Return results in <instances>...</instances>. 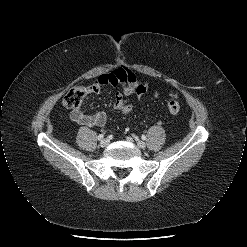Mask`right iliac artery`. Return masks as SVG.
<instances>
[{
  "label": "right iliac artery",
  "mask_w": 247,
  "mask_h": 247,
  "mask_svg": "<svg viewBox=\"0 0 247 247\" xmlns=\"http://www.w3.org/2000/svg\"><path fill=\"white\" fill-rule=\"evenodd\" d=\"M103 137H104V134H100V135L98 136V140H102Z\"/></svg>",
  "instance_id": "right-iliac-artery-1"
}]
</instances>
